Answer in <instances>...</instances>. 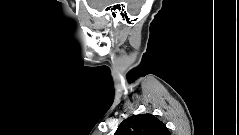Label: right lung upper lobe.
I'll use <instances>...</instances> for the list:
<instances>
[{
    "label": "right lung upper lobe",
    "mask_w": 239,
    "mask_h": 135,
    "mask_svg": "<svg viewBox=\"0 0 239 135\" xmlns=\"http://www.w3.org/2000/svg\"><path fill=\"white\" fill-rule=\"evenodd\" d=\"M114 135H170L163 122L152 114H139L125 119Z\"/></svg>",
    "instance_id": "obj_1"
}]
</instances>
